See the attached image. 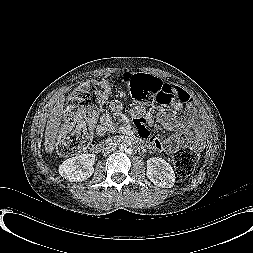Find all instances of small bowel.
Masks as SVG:
<instances>
[{
    "instance_id": "small-bowel-1",
    "label": "small bowel",
    "mask_w": 253,
    "mask_h": 253,
    "mask_svg": "<svg viewBox=\"0 0 253 253\" xmlns=\"http://www.w3.org/2000/svg\"><path fill=\"white\" fill-rule=\"evenodd\" d=\"M175 92L179 94L180 99L172 103V111H180L185 106L187 107L188 116L190 119V125L180 122L169 110L160 109L157 112L154 110L145 111L140 107H134L131 110V115L137 130L138 135L146 140L153 151L155 152H171L177 144V138H170L166 141L152 136L147 129L148 125H152L154 121H158L167 130H181L185 133V137L189 141H193L197 148H200L201 142L199 133L194 135L191 132V127H198L199 125V114L193 107L191 96L182 88L173 85ZM123 112V106L119 101L113 100L109 103L108 109L102 114L99 124L96 126V131L99 135H105L115 128L113 121L114 114H121Z\"/></svg>"
}]
</instances>
